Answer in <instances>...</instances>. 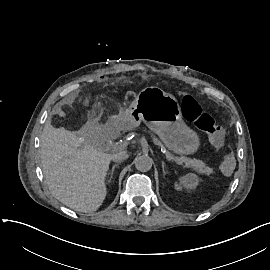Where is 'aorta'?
I'll return each mask as SVG.
<instances>
[{
    "label": "aorta",
    "mask_w": 270,
    "mask_h": 270,
    "mask_svg": "<svg viewBox=\"0 0 270 270\" xmlns=\"http://www.w3.org/2000/svg\"><path fill=\"white\" fill-rule=\"evenodd\" d=\"M153 160L147 155H138L135 158V167L141 172H147L152 168Z\"/></svg>",
    "instance_id": "aorta-1"
}]
</instances>
